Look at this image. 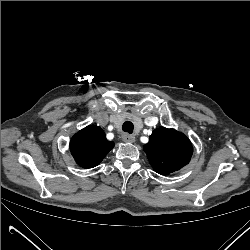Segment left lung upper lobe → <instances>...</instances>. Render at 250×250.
<instances>
[{
	"label": "left lung upper lobe",
	"mask_w": 250,
	"mask_h": 250,
	"mask_svg": "<svg viewBox=\"0 0 250 250\" xmlns=\"http://www.w3.org/2000/svg\"><path fill=\"white\" fill-rule=\"evenodd\" d=\"M154 171L168 175L189 163L193 147L186 135L175 129H155L143 147Z\"/></svg>",
	"instance_id": "left-lung-upper-lobe-1"
}]
</instances>
